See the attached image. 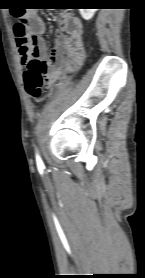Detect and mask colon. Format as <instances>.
Returning <instances> with one entry per match:
<instances>
[{
  "mask_svg": "<svg viewBox=\"0 0 145 278\" xmlns=\"http://www.w3.org/2000/svg\"><path fill=\"white\" fill-rule=\"evenodd\" d=\"M17 44L20 51H28L31 44V36L27 29L25 19H20L14 28ZM47 66L38 56H32L24 71L26 91L34 100H40L46 86Z\"/></svg>",
  "mask_w": 145,
  "mask_h": 278,
  "instance_id": "1",
  "label": "colon"
}]
</instances>
